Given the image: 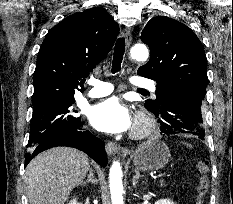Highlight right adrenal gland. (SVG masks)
<instances>
[{
	"mask_svg": "<svg viewBox=\"0 0 233 204\" xmlns=\"http://www.w3.org/2000/svg\"><path fill=\"white\" fill-rule=\"evenodd\" d=\"M87 183L97 184V179L94 177V174H93V170H92V169H90L88 178H87V180L83 183V185H86Z\"/></svg>",
	"mask_w": 233,
	"mask_h": 204,
	"instance_id": "obj_1",
	"label": "right adrenal gland"
}]
</instances>
